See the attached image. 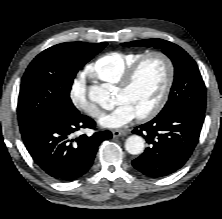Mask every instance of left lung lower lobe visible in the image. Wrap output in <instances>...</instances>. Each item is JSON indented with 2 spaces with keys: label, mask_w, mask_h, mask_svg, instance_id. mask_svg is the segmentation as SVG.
Returning <instances> with one entry per match:
<instances>
[{
  "label": "left lung lower lobe",
  "mask_w": 222,
  "mask_h": 219,
  "mask_svg": "<svg viewBox=\"0 0 222 219\" xmlns=\"http://www.w3.org/2000/svg\"><path fill=\"white\" fill-rule=\"evenodd\" d=\"M205 113L188 107H174L132 131L142 135L148 147L132 161L141 173L161 177L180 169L192 154Z\"/></svg>",
  "instance_id": "1"
}]
</instances>
